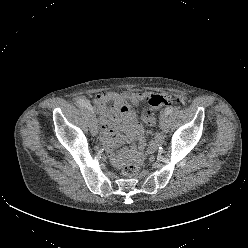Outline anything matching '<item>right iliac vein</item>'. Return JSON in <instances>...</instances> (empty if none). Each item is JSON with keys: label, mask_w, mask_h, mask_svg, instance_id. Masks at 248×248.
Returning a JSON list of instances; mask_svg holds the SVG:
<instances>
[{"label": "right iliac vein", "mask_w": 248, "mask_h": 248, "mask_svg": "<svg viewBox=\"0 0 248 248\" xmlns=\"http://www.w3.org/2000/svg\"><path fill=\"white\" fill-rule=\"evenodd\" d=\"M90 111H91L90 129L92 135H96L98 133V120L96 118V113L93 110Z\"/></svg>", "instance_id": "right-iliac-vein-1"}]
</instances>
